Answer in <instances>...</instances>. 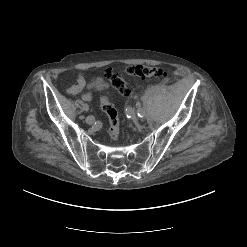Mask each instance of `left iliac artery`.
<instances>
[{"label":"left iliac artery","mask_w":247,"mask_h":247,"mask_svg":"<svg viewBox=\"0 0 247 247\" xmlns=\"http://www.w3.org/2000/svg\"><path fill=\"white\" fill-rule=\"evenodd\" d=\"M137 114L140 118H143L145 116V111L139 106L137 107Z\"/></svg>","instance_id":"44dca946"}]
</instances>
